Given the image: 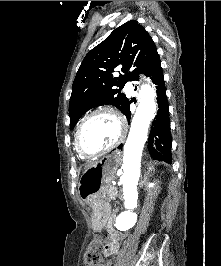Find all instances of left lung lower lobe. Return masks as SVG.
Masks as SVG:
<instances>
[{"label":"left lung lower lobe","mask_w":221,"mask_h":266,"mask_svg":"<svg viewBox=\"0 0 221 266\" xmlns=\"http://www.w3.org/2000/svg\"><path fill=\"white\" fill-rule=\"evenodd\" d=\"M146 76L150 77L152 82L156 85L157 103L159 108L151 126L148 140V150L153 158L167 163H172V139L170 132L169 108L161 62L148 72ZM130 103L131 101H128L125 110L123 111L128 121L131 117ZM121 148L122 145L118 146V149Z\"/></svg>","instance_id":"obj_1"}]
</instances>
